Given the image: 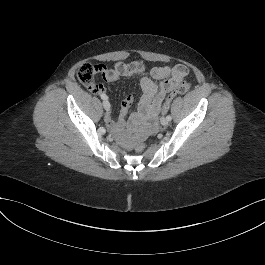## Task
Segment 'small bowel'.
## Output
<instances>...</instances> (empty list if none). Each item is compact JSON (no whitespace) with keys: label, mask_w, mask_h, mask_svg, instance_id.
Instances as JSON below:
<instances>
[{"label":"small bowel","mask_w":265,"mask_h":265,"mask_svg":"<svg viewBox=\"0 0 265 265\" xmlns=\"http://www.w3.org/2000/svg\"><path fill=\"white\" fill-rule=\"evenodd\" d=\"M99 66L100 73L107 82H115L125 76L142 75L140 80L142 95L139 101L138 112L133 119H137L144 124H148L157 117L166 95L188 74L187 67L182 64L153 67L150 70L149 76L145 75V68L139 62L126 63L118 61L111 68L105 65ZM89 90L95 94H105L106 96L108 92L106 87L100 84L93 85ZM133 102L134 98L131 95L124 99L117 121L113 119L109 112L106 113V124L113 130L119 129L123 125L125 116Z\"/></svg>","instance_id":"obj_1"}]
</instances>
